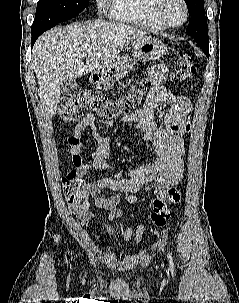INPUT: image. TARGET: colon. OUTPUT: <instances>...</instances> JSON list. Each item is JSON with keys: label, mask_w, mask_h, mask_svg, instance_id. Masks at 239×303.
<instances>
[{"label": "colon", "mask_w": 239, "mask_h": 303, "mask_svg": "<svg viewBox=\"0 0 239 303\" xmlns=\"http://www.w3.org/2000/svg\"><path fill=\"white\" fill-rule=\"evenodd\" d=\"M196 68L192 59L187 56H181L177 59L171 79L175 82H182L194 77ZM146 92L143 82H135L130 89L111 99L98 92L83 90L64 96L59 105V118L63 122H72L78 120L83 111H91L95 115L112 120L132 114L135 108L141 103ZM191 123L185 125V131L189 132ZM83 184V179L75 170L69 171L62 179L63 194L66 201L72 204L76 195ZM181 201V192L175 187L158 192L153 199V210L150 214V220L153 225L164 226L170 219L171 212L168 204L178 205Z\"/></svg>", "instance_id": "5ec220e1"}]
</instances>
